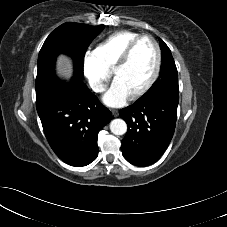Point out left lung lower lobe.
Wrapping results in <instances>:
<instances>
[{"label": "left lung lower lobe", "instance_id": "0a47b994", "mask_svg": "<svg viewBox=\"0 0 227 227\" xmlns=\"http://www.w3.org/2000/svg\"><path fill=\"white\" fill-rule=\"evenodd\" d=\"M178 102L179 98L157 94L120 110L128 125L122 140L128 162L148 166L161 157L174 134Z\"/></svg>", "mask_w": 227, "mask_h": 227}]
</instances>
